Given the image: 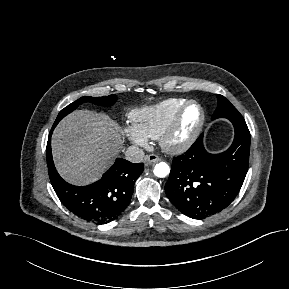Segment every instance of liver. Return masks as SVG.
I'll return each mask as SVG.
<instances>
[{
    "label": "liver",
    "mask_w": 289,
    "mask_h": 289,
    "mask_svg": "<svg viewBox=\"0 0 289 289\" xmlns=\"http://www.w3.org/2000/svg\"><path fill=\"white\" fill-rule=\"evenodd\" d=\"M122 132L105 114L76 110L52 135V154L60 175L74 185L98 180L123 148Z\"/></svg>",
    "instance_id": "obj_1"
}]
</instances>
